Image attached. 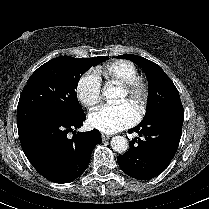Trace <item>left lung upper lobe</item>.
Listing matches in <instances>:
<instances>
[{
	"label": "left lung upper lobe",
	"instance_id": "left-lung-upper-lobe-1",
	"mask_svg": "<svg viewBox=\"0 0 209 209\" xmlns=\"http://www.w3.org/2000/svg\"><path fill=\"white\" fill-rule=\"evenodd\" d=\"M120 58L132 60L147 76L149 93L142 122L164 113L184 112L177 88L159 65L133 54L121 55Z\"/></svg>",
	"mask_w": 209,
	"mask_h": 209
}]
</instances>
